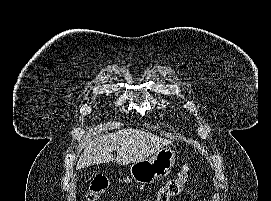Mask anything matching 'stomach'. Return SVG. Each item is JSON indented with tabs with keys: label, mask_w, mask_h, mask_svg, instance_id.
Segmentation results:
<instances>
[{
	"label": "stomach",
	"mask_w": 271,
	"mask_h": 201,
	"mask_svg": "<svg viewBox=\"0 0 271 201\" xmlns=\"http://www.w3.org/2000/svg\"><path fill=\"white\" fill-rule=\"evenodd\" d=\"M174 163L175 151L162 148L151 158L132 163L130 174L136 183L148 184L167 176Z\"/></svg>",
	"instance_id": "1"
}]
</instances>
